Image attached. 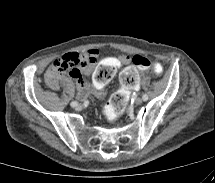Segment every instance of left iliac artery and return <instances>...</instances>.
<instances>
[{
	"instance_id": "1",
	"label": "left iliac artery",
	"mask_w": 215,
	"mask_h": 183,
	"mask_svg": "<svg viewBox=\"0 0 215 183\" xmlns=\"http://www.w3.org/2000/svg\"><path fill=\"white\" fill-rule=\"evenodd\" d=\"M142 99H143V101H147V100H148V95H147V94H144V95L142 96Z\"/></svg>"
}]
</instances>
